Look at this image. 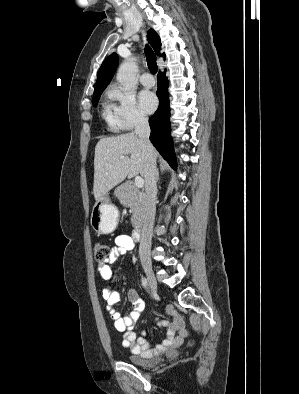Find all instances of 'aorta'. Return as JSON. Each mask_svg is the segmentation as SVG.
<instances>
[{
  "mask_svg": "<svg viewBox=\"0 0 299 394\" xmlns=\"http://www.w3.org/2000/svg\"><path fill=\"white\" fill-rule=\"evenodd\" d=\"M138 67L133 59L124 61L117 72L116 79L125 90H131L136 85Z\"/></svg>",
  "mask_w": 299,
  "mask_h": 394,
  "instance_id": "762f6f07",
  "label": "aorta"
}]
</instances>
